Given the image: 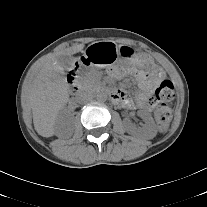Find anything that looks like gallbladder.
<instances>
[{
    "label": "gallbladder",
    "instance_id": "bac80fb5",
    "mask_svg": "<svg viewBox=\"0 0 207 207\" xmlns=\"http://www.w3.org/2000/svg\"><path fill=\"white\" fill-rule=\"evenodd\" d=\"M71 61H72V57H68V56H64V55H60L57 57V62L62 67L69 66Z\"/></svg>",
    "mask_w": 207,
    "mask_h": 207
}]
</instances>
